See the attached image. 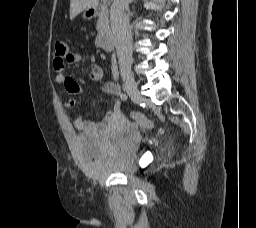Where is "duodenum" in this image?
I'll return each mask as SVG.
<instances>
[{"mask_svg": "<svg viewBox=\"0 0 256 228\" xmlns=\"http://www.w3.org/2000/svg\"><path fill=\"white\" fill-rule=\"evenodd\" d=\"M89 12H90L91 16L97 17V16L101 15V13L103 12V6L101 4H94L91 6ZM97 43L102 49H104L106 51L112 50L113 38H112L111 33L106 30L101 31L97 36Z\"/></svg>", "mask_w": 256, "mask_h": 228, "instance_id": "410a0bca", "label": "duodenum"}]
</instances>
